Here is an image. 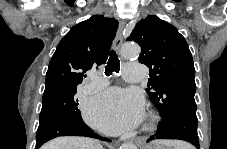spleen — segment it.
Here are the masks:
<instances>
[{
	"label": "spleen",
	"mask_w": 227,
	"mask_h": 149,
	"mask_svg": "<svg viewBox=\"0 0 227 149\" xmlns=\"http://www.w3.org/2000/svg\"><path fill=\"white\" fill-rule=\"evenodd\" d=\"M162 143L164 145H171L175 149H190L191 148L188 144L181 142V141H162Z\"/></svg>",
	"instance_id": "spleen-1"
}]
</instances>
